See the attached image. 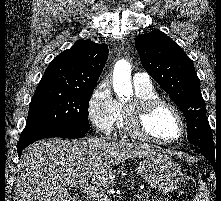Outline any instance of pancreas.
Here are the masks:
<instances>
[{
    "mask_svg": "<svg viewBox=\"0 0 221 201\" xmlns=\"http://www.w3.org/2000/svg\"><path fill=\"white\" fill-rule=\"evenodd\" d=\"M107 201H110V200L108 199ZM143 201H163V200L149 193V194H145V199Z\"/></svg>",
    "mask_w": 221,
    "mask_h": 201,
    "instance_id": "obj_1",
    "label": "pancreas"
}]
</instances>
